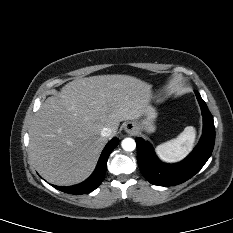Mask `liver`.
<instances>
[{
    "label": "liver",
    "instance_id": "liver-1",
    "mask_svg": "<svg viewBox=\"0 0 233 233\" xmlns=\"http://www.w3.org/2000/svg\"><path fill=\"white\" fill-rule=\"evenodd\" d=\"M150 85L129 75H99L74 80L48 97L30 131V158L48 182L78 184L89 177L107 138L120 122L144 116Z\"/></svg>",
    "mask_w": 233,
    "mask_h": 233
}]
</instances>
